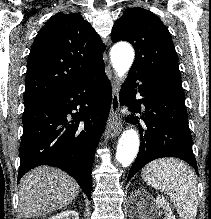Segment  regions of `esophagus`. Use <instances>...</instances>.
Listing matches in <instances>:
<instances>
[{
    "label": "esophagus",
    "instance_id": "34e87169",
    "mask_svg": "<svg viewBox=\"0 0 211 219\" xmlns=\"http://www.w3.org/2000/svg\"><path fill=\"white\" fill-rule=\"evenodd\" d=\"M119 92V81L115 79L112 83V102L109 119L111 136L118 135L122 129V119L120 117Z\"/></svg>",
    "mask_w": 211,
    "mask_h": 219
}]
</instances>
